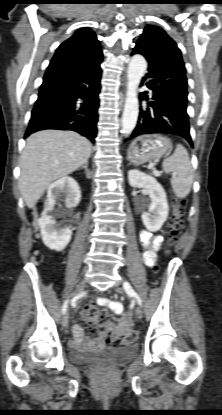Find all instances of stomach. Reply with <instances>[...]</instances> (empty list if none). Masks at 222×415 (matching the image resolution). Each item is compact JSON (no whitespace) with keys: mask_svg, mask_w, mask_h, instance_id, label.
Wrapping results in <instances>:
<instances>
[{"mask_svg":"<svg viewBox=\"0 0 222 415\" xmlns=\"http://www.w3.org/2000/svg\"><path fill=\"white\" fill-rule=\"evenodd\" d=\"M171 149V140L161 134L137 137L128 149V159L134 164H143L159 159Z\"/></svg>","mask_w":222,"mask_h":415,"instance_id":"stomach-1","label":"stomach"}]
</instances>
